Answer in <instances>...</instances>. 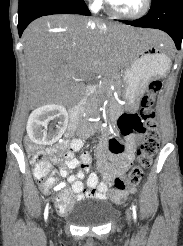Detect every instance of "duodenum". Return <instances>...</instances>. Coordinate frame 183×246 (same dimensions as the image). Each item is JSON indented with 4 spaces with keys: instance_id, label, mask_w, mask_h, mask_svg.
<instances>
[{
    "instance_id": "1",
    "label": "duodenum",
    "mask_w": 183,
    "mask_h": 246,
    "mask_svg": "<svg viewBox=\"0 0 183 246\" xmlns=\"http://www.w3.org/2000/svg\"><path fill=\"white\" fill-rule=\"evenodd\" d=\"M96 89L95 86L90 87L91 91ZM84 113V105L83 104H76L74 108L70 109L69 111V130H73L78 121V114Z\"/></svg>"
}]
</instances>
